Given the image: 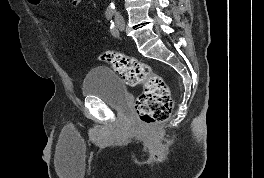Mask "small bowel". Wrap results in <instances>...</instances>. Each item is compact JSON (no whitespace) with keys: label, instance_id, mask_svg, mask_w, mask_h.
<instances>
[{"label":"small bowel","instance_id":"1","mask_svg":"<svg viewBox=\"0 0 264 178\" xmlns=\"http://www.w3.org/2000/svg\"><path fill=\"white\" fill-rule=\"evenodd\" d=\"M28 2L32 5H39V4H34V3L30 2V0H28ZM69 2L71 4V6H73L74 8H77L82 4L83 0H69Z\"/></svg>","mask_w":264,"mask_h":178}]
</instances>
